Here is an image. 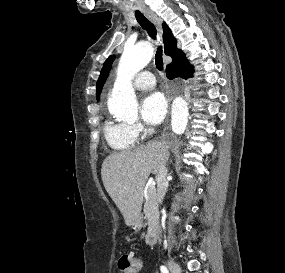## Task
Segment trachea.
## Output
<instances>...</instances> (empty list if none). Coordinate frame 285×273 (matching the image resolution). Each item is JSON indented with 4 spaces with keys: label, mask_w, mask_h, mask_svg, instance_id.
<instances>
[{
    "label": "trachea",
    "mask_w": 285,
    "mask_h": 273,
    "mask_svg": "<svg viewBox=\"0 0 285 273\" xmlns=\"http://www.w3.org/2000/svg\"><path fill=\"white\" fill-rule=\"evenodd\" d=\"M135 17L140 24V26L147 31L149 36L156 40L157 30L154 24L148 20L141 12H136ZM155 64L158 70H163V58H162V47L158 46L155 54Z\"/></svg>",
    "instance_id": "obj_1"
}]
</instances>
